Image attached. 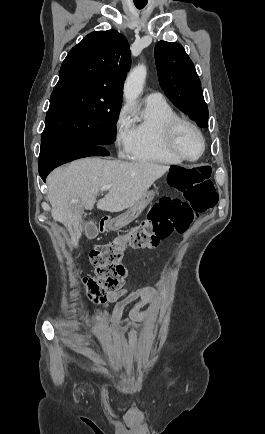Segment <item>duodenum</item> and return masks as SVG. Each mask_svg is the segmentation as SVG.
I'll return each instance as SVG.
<instances>
[{"mask_svg": "<svg viewBox=\"0 0 265 434\" xmlns=\"http://www.w3.org/2000/svg\"><path fill=\"white\" fill-rule=\"evenodd\" d=\"M98 224H99L98 229H101V232H104L107 229L108 220L101 218L99 219Z\"/></svg>", "mask_w": 265, "mask_h": 434, "instance_id": "obj_1", "label": "duodenum"}]
</instances>
